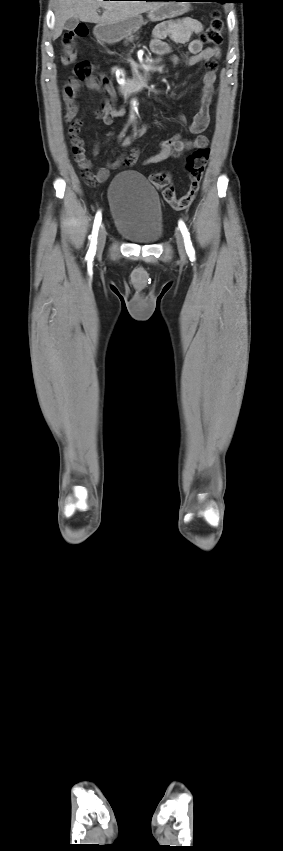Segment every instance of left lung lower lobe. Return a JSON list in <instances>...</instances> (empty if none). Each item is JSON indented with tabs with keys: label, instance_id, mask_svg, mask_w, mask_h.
Wrapping results in <instances>:
<instances>
[{
	"label": "left lung lower lobe",
	"instance_id": "left-lung-lower-lobe-1",
	"mask_svg": "<svg viewBox=\"0 0 283 851\" xmlns=\"http://www.w3.org/2000/svg\"><path fill=\"white\" fill-rule=\"evenodd\" d=\"M159 1H164V0H159ZM171 1H175V0H171ZM200 1H211V2H215V1H217V0H200ZM217 2H218V1H217Z\"/></svg>",
	"mask_w": 283,
	"mask_h": 851
}]
</instances>
